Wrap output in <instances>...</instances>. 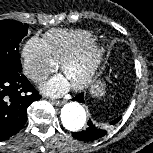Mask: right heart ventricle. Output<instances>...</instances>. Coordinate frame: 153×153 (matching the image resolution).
<instances>
[{
  "instance_id": "e07e8e85",
  "label": "right heart ventricle",
  "mask_w": 153,
  "mask_h": 153,
  "mask_svg": "<svg viewBox=\"0 0 153 153\" xmlns=\"http://www.w3.org/2000/svg\"><path fill=\"white\" fill-rule=\"evenodd\" d=\"M96 36L88 30L54 29L47 32L44 41L57 63H62L68 57L92 44Z\"/></svg>"
}]
</instances>
